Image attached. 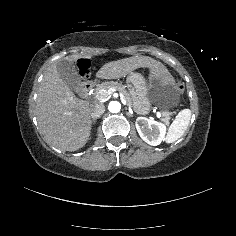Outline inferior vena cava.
I'll return each instance as SVG.
<instances>
[{
    "instance_id": "1",
    "label": "inferior vena cava",
    "mask_w": 236,
    "mask_h": 236,
    "mask_svg": "<svg viewBox=\"0 0 236 236\" xmlns=\"http://www.w3.org/2000/svg\"><path fill=\"white\" fill-rule=\"evenodd\" d=\"M105 112L103 103H97L91 108V117L93 120L98 119Z\"/></svg>"
}]
</instances>
